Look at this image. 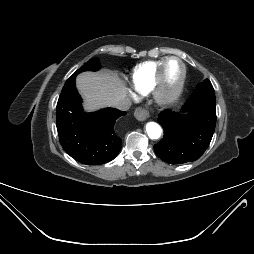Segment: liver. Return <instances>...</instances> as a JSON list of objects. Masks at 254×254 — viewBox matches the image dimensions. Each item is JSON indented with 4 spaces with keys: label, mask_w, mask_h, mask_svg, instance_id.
<instances>
[{
    "label": "liver",
    "mask_w": 254,
    "mask_h": 254,
    "mask_svg": "<svg viewBox=\"0 0 254 254\" xmlns=\"http://www.w3.org/2000/svg\"><path fill=\"white\" fill-rule=\"evenodd\" d=\"M76 85L84 98V108L94 111L112 106L113 102L126 97V89L121 80L108 72H84L78 75Z\"/></svg>",
    "instance_id": "liver-1"
}]
</instances>
